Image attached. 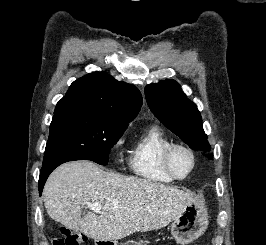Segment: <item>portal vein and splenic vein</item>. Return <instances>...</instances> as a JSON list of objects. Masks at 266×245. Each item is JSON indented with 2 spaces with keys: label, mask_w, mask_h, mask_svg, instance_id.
I'll return each mask as SVG.
<instances>
[{
  "label": "portal vein and splenic vein",
  "mask_w": 266,
  "mask_h": 245,
  "mask_svg": "<svg viewBox=\"0 0 266 245\" xmlns=\"http://www.w3.org/2000/svg\"><path fill=\"white\" fill-rule=\"evenodd\" d=\"M87 207L89 211H94V213H101V207L99 203H88Z\"/></svg>",
  "instance_id": "1"
}]
</instances>
